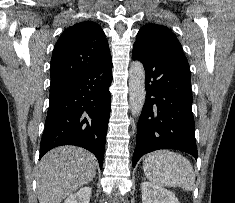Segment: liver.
Listing matches in <instances>:
<instances>
[{
	"label": "liver",
	"instance_id": "1",
	"mask_svg": "<svg viewBox=\"0 0 235 203\" xmlns=\"http://www.w3.org/2000/svg\"><path fill=\"white\" fill-rule=\"evenodd\" d=\"M96 169L95 156L83 148L61 146L50 150L38 166L39 203H61L88 184L94 178Z\"/></svg>",
	"mask_w": 235,
	"mask_h": 203
}]
</instances>
